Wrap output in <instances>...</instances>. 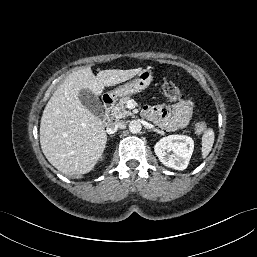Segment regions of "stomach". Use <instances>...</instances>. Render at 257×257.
Masks as SVG:
<instances>
[{
	"label": "stomach",
	"mask_w": 257,
	"mask_h": 257,
	"mask_svg": "<svg viewBox=\"0 0 257 257\" xmlns=\"http://www.w3.org/2000/svg\"><path fill=\"white\" fill-rule=\"evenodd\" d=\"M153 80V72L150 68H146L141 70V72L137 75L133 80L120 85L114 90L109 92V95L114 99H118L121 97L130 96L140 91L146 89L151 81Z\"/></svg>",
	"instance_id": "0dacf381"
}]
</instances>
